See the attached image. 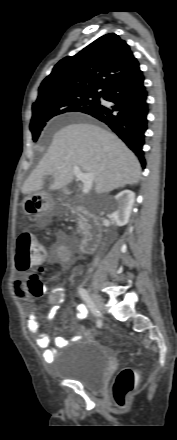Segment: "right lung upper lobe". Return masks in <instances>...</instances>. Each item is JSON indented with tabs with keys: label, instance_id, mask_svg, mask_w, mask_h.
<instances>
[{
	"label": "right lung upper lobe",
	"instance_id": "1",
	"mask_svg": "<svg viewBox=\"0 0 177 440\" xmlns=\"http://www.w3.org/2000/svg\"><path fill=\"white\" fill-rule=\"evenodd\" d=\"M138 68L129 45L114 33L106 34L60 60L41 83L32 108L68 95L104 94Z\"/></svg>",
	"mask_w": 177,
	"mask_h": 440
}]
</instances>
